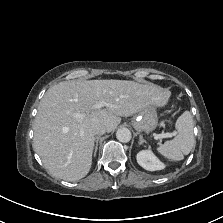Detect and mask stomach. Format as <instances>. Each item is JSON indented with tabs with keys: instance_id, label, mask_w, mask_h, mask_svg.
I'll use <instances>...</instances> for the list:
<instances>
[{
	"instance_id": "obj_1",
	"label": "stomach",
	"mask_w": 223,
	"mask_h": 223,
	"mask_svg": "<svg viewBox=\"0 0 223 223\" xmlns=\"http://www.w3.org/2000/svg\"><path fill=\"white\" fill-rule=\"evenodd\" d=\"M158 125L156 108L150 105L141 110L133 120V126L137 131L152 132Z\"/></svg>"
}]
</instances>
